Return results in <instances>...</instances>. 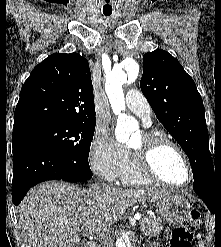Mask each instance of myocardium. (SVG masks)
Masks as SVG:
<instances>
[{"label":"myocardium","instance_id":"obj_1","mask_svg":"<svg viewBox=\"0 0 221 247\" xmlns=\"http://www.w3.org/2000/svg\"><path fill=\"white\" fill-rule=\"evenodd\" d=\"M127 147L139 171L152 181L172 188H185L193 182L194 172L187 154L179 144L166 135L154 130H144L141 132L140 144L136 147L129 145ZM165 147L174 149L183 159L189 175L186 183L176 184L168 182L156 170L154 163L155 155L160 149Z\"/></svg>","mask_w":221,"mask_h":247}]
</instances>
